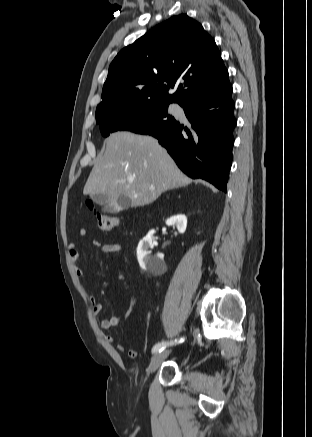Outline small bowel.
Returning <instances> with one entry per match:
<instances>
[{"instance_id":"c3829d8e","label":"small bowel","mask_w":312,"mask_h":437,"mask_svg":"<svg viewBox=\"0 0 312 437\" xmlns=\"http://www.w3.org/2000/svg\"><path fill=\"white\" fill-rule=\"evenodd\" d=\"M77 234L79 237H83L86 235V230L80 229ZM94 245L101 247V251L104 254L117 253L122 250L121 244L117 242L101 243L99 240H95ZM68 249H69V257L75 268L76 274L79 277H83V271L78 266L79 251L77 250L76 243L70 242L68 245ZM89 300L92 304L93 313L95 315L100 314L103 311L104 305L101 302H98L96 296L93 294L90 295ZM137 301L138 300L136 296H132L130 301V306L126 310V312L121 316L108 317L102 319L100 322V328L103 331H108L112 327L118 326L123 320H125L131 314L133 308L137 304ZM105 339L109 344H114L115 342V338L111 334L106 335ZM116 348L121 352H125L127 356L130 358H134L136 356V351L134 349H126L123 344H117Z\"/></svg>"}]
</instances>
